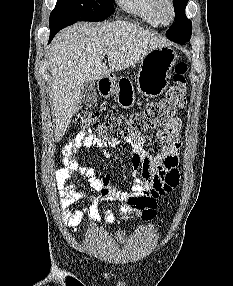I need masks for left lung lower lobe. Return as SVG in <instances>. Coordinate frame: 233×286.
<instances>
[{
    "label": "left lung lower lobe",
    "instance_id": "1",
    "mask_svg": "<svg viewBox=\"0 0 233 286\" xmlns=\"http://www.w3.org/2000/svg\"><path fill=\"white\" fill-rule=\"evenodd\" d=\"M177 43H180V44H183V45H184L185 42H177Z\"/></svg>",
    "mask_w": 233,
    "mask_h": 286
}]
</instances>
